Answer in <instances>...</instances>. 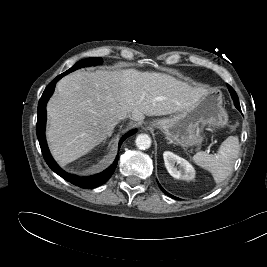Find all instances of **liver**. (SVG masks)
<instances>
[{
	"label": "liver",
	"instance_id": "liver-1",
	"mask_svg": "<svg viewBox=\"0 0 267 267\" xmlns=\"http://www.w3.org/2000/svg\"><path fill=\"white\" fill-rule=\"evenodd\" d=\"M207 93L173 76L134 69L76 71L62 78L47 104L46 137L60 164L99 145L121 115L142 122L193 107Z\"/></svg>",
	"mask_w": 267,
	"mask_h": 267
}]
</instances>
